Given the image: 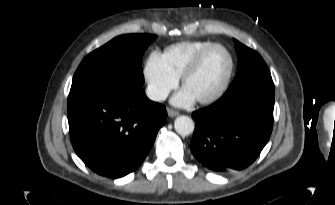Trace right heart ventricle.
<instances>
[{
	"mask_svg": "<svg viewBox=\"0 0 335 205\" xmlns=\"http://www.w3.org/2000/svg\"><path fill=\"white\" fill-rule=\"evenodd\" d=\"M213 44L211 41H182L165 48L162 57L168 68L180 77L193 58L205 47Z\"/></svg>",
	"mask_w": 335,
	"mask_h": 205,
	"instance_id": "e07e8e85",
	"label": "right heart ventricle"
}]
</instances>
